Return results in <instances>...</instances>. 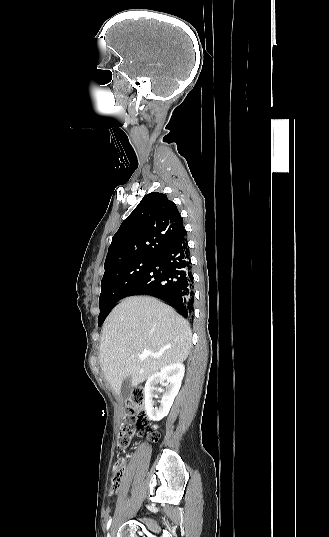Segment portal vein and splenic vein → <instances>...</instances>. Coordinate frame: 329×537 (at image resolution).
Segmentation results:
<instances>
[{"mask_svg": "<svg viewBox=\"0 0 329 537\" xmlns=\"http://www.w3.org/2000/svg\"><path fill=\"white\" fill-rule=\"evenodd\" d=\"M148 355H154V356H156L155 354H152V353L147 352V353H144V354L139 355L138 358H139V360L143 361V360L146 359V357H147Z\"/></svg>", "mask_w": 329, "mask_h": 537, "instance_id": "18ae733b", "label": "portal vein and splenic vein"}]
</instances>
